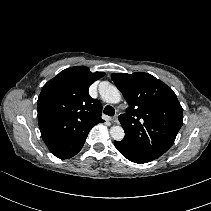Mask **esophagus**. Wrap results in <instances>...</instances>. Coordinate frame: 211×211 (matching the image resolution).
<instances>
[{"mask_svg": "<svg viewBox=\"0 0 211 211\" xmlns=\"http://www.w3.org/2000/svg\"><path fill=\"white\" fill-rule=\"evenodd\" d=\"M112 122H114L116 124L119 123V120H118V116L117 115L112 118Z\"/></svg>", "mask_w": 211, "mask_h": 211, "instance_id": "1", "label": "esophagus"}]
</instances>
